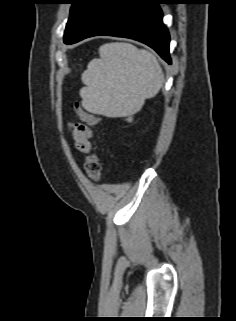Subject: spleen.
Wrapping results in <instances>:
<instances>
[{
	"label": "spleen",
	"instance_id": "3e777b00",
	"mask_svg": "<svg viewBox=\"0 0 236 321\" xmlns=\"http://www.w3.org/2000/svg\"><path fill=\"white\" fill-rule=\"evenodd\" d=\"M99 54L82 74L85 87L80 96L87 111L107 117L132 115L160 90L162 70L152 53L128 43H108Z\"/></svg>",
	"mask_w": 236,
	"mask_h": 321
}]
</instances>
